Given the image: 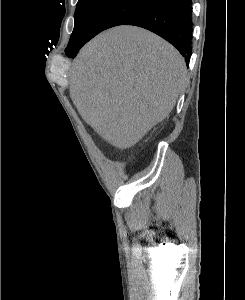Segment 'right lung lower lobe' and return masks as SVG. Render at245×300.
<instances>
[{
    "mask_svg": "<svg viewBox=\"0 0 245 300\" xmlns=\"http://www.w3.org/2000/svg\"><path fill=\"white\" fill-rule=\"evenodd\" d=\"M191 13V0H158L123 25L139 26L161 36L178 49L188 65L192 44ZM83 45L66 49L67 56L75 57Z\"/></svg>",
    "mask_w": 245,
    "mask_h": 300,
    "instance_id": "obj_1",
    "label": "right lung lower lobe"
}]
</instances>
